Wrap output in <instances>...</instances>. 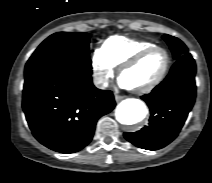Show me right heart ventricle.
<instances>
[{
  "instance_id": "obj_1",
  "label": "right heart ventricle",
  "mask_w": 212,
  "mask_h": 183,
  "mask_svg": "<svg viewBox=\"0 0 212 183\" xmlns=\"http://www.w3.org/2000/svg\"><path fill=\"white\" fill-rule=\"evenodd\" d=\"M153 45H156V43L148 40L112 36L104 42L102 48L114 66H121L142 49Z\"/></svg>"
}]
</instances>
